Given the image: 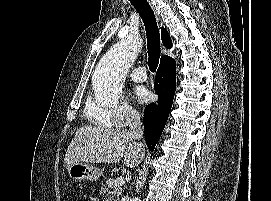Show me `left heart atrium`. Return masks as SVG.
Here are the masks:
<instances>
[{
  "mask_svg": "<svg viewBox=\"0 0 271 201\" xmlns=\"http://www.w3.org/2000/svg\"><path fill=\"white\" fill-rule=\"evenodd\" d=\"M135 96L141 103H148L152 100V94L144 87H138L135 90Z\"/></svg>",
  "mask_w": 271,
  "mask_h": 201,
  "instance_id": "obj_1",
  "label": "left heart atrium"
}]
</instances>
